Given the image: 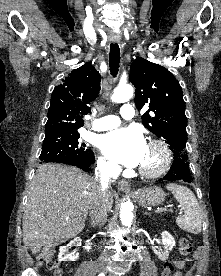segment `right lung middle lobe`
<instances>
[{"mask_svg":"<svg viewBox=\"0 0 221 276\" xmlns=\"http://www.w3.org/2000/svg\"><path fill=\"white\" fill-rule=\"evenodd\" d=\"M78 132L45 134L40 160L60 162L65 160H91L94 153L78 142Z\"/></svg>","mask_w":221,"mask_h":276,"instance_id":"1","label":"right lung middle lobe"}]
</instances>
